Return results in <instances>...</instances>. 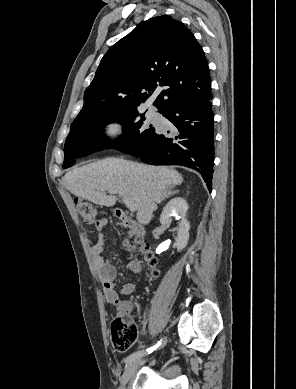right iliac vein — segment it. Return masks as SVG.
Masks as SVG:
<instances>
[{"mask_svg": "<svg viewBox=\"0 0 296 389\" xmlns=\"http://www.w3.org/2000/svg\"><path fill=\"white\" fill-rule=\"evenodd\" d=\"M144 361H142L140 358L134 360L132 363L128 364L127 368L125 369L122 379H121V385L125 386L127 382L131 379V377L134 375V373L137 371L139 366L143 364Z\"/></svg>", "mask_w": 296, "mask_h": 389, "instance_id": "63e3f726", "label": "right iliac vein"}]
</instances>
